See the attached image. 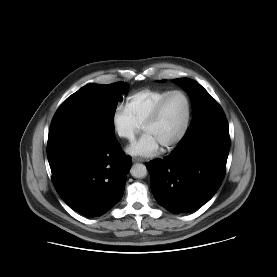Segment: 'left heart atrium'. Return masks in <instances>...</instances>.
I'll return each mask as SVG.
<instances>
[{"label":"left heart atrium","mask_w":277,"mask_h":277,"mask_svg":"<svg viewBox=\"0 0 277 277\" xmlns=\"http://www.w3.org/2000/svg\"><path fill=\"white\" fill-rule=\"evenodd\" d=\"M161 145L150 133L145 132L138 140L130 144L126 151L136 157H151L160 151Z\"/></svg>","instance_id":"1"}]
</instances>
